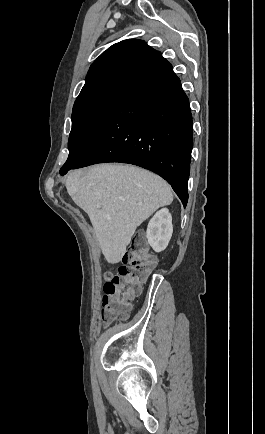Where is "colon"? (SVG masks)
<instances>
[{"label":"colon","mask_w":265,"mask_h":434,"mask_svg":"<svg viewBox=\"0 0 265 434\" xmlns=\"http://www.w3.org/2000/svg\"><path fill=\"white\" fill-rule=\"evenodd\" d=\"M145 250L143 236L137 235L129 243L116 272L105 274L106 297L103 307L106 313L101 321L103 327H114L117 322L125 321L123 312L127 306L126 300L139 295L141 286L156 266L155 256L146 254Z\"/></svg>","instance_id":"5ec220e1"}]
</instances>
